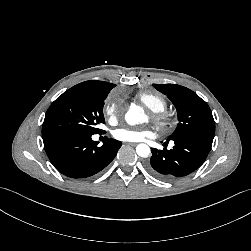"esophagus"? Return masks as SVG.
Returning a JSON list of instances; mask_svg holds the SVG:
<instances>
[{"mask_svg":"<svg viewBox=\"0 0 251 251\" xmlns=\"http://www.w3.org/2000/svg\"><path fill=\"white\" fill-rule=\"evenodd\" d=\"M127 145L135 146L137 143L134 142H126Z\"/></svg>","mask_w":251,"mask_h":251,"instance_id":"obj_1","label":"esophagus"}]
</instances>
